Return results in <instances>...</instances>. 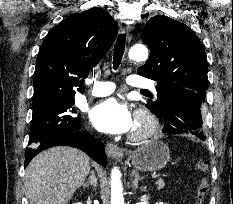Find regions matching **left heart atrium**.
I'll list each match as a JSON object with an SVG mask.
<instances>
[{"instance_id": "obj_1", "label": "left heart atrium", "mask_w": 233, "mask_h": 204, "mask_svg": "<svg viewBox=\"0 0 233 204\" xmlns=\"http://www.w3.org/2000/svg\"><path fill=\"white\" fill-rule=\"evenodd\" d=\"M93 126L104 133L123 134L134 126L133 116L125 103L109 98L95 105L90 111Z\"/></svg>"}]
</instances>
